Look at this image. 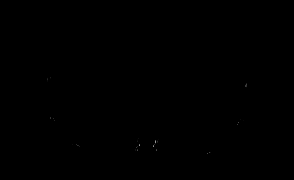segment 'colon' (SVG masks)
I'll use <instances>...</instances> for the list:
<instances>
[{
	"mask_svg": "<svg viewBox=\"0 0 294 180\" xmlns=\"http://www.w3.org/2000/svg\"><path fill=\"white\" fill-rule=\"evenodd\" d=\"M209 32V30L205 31L204 35H207ZM213 52L217 55V56H224V46L223 43L221 41H218V43L216 45H214L213 47ZM207 99L211 102L216 101L217 99V92L215 90H211L208 92L207 94Z\"/></svg>",
	"mask_w": 294,
	"mask_h": 180,
	"instance_id": "1",
	"label": "colon"
}]
</instances>
